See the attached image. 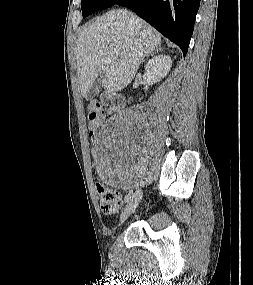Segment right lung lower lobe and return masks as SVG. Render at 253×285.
Instances as JSON below:
<instances>
[{
	"mask_svg": "<svg viewBox=\"0 0 253 285\" xmlns=\"http://www.w3.org/2000/svg\"><path fill=\"white\" fill-rule=\"evenodd\" d=\"M116 4L134 11L186 55L200 0H119Z\"/></svg>",
	"mask_w": 253,
	"mask_h": 285,
	"instance_id": "right-lung-lower-lobe-1",
	"label": "right lung lower lobe"
}]
</instances>
